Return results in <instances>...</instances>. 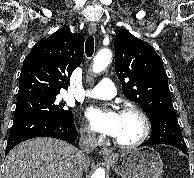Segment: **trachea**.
<instances>
[{
  "instance_id": "obj_1",
  "label": "trachea",
  "mask_w": 194,
  "mask_h": 178,
  "mask_svg": "<svg viewBox=\"0 0 194 178\" xmlns=\"http://www.w3.org/2000/svg\"><path fill=\"white\" fill-rule=\"evenodd\" d=\"M85 52L87 57H91L94 52V37L89 36L85 42Z\"/></svg>"
}]
</instances>
